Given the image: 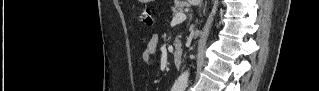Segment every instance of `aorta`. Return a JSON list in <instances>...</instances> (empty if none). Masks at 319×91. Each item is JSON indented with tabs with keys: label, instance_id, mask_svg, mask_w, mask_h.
Segmentation results:
<instances>
[{
	"label": "aorta",
	"instance_id": "obj_1",
	"mask_svg": "<svg viewBox=\"0 0 319 91\" xmlns=\"http://www.w3.org/2000/svg\"><path fill=\"white\" fill-rule=\"evenodd\" d=\"M188 78H189V71L186 70L175 81L174 89H176L177 91H184L188 83Z\"/></svg>",
	"mask_w": 319,
	"mask_h": 91
}]
</instances>
